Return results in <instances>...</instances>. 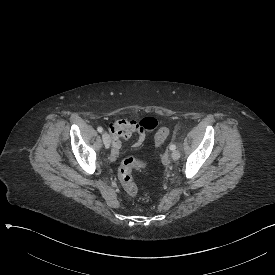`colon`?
Instances as JSON below:
<instances>
[{"label": "colon", "instance_id": "5ec220e1", "mask_svg": "<svg viewBox=\"0 0 275 275\" xmlns=\"http://www.w3.org/2000/svg\"><path fill=\"white\" fill-rule=\"evenodd\" d=\"M170 134L169 127H161L155 134L154 149L151 158L148 161L137 160L129 157L123 161L118 171V181L125 192L133 197L137 194L138 188L134 181L133 173L135 171L151 170L155 168L162 157L163 142L167 140Z\"/></svg>", "mask_w": 275, "mask_h": 275}]
</instances>
